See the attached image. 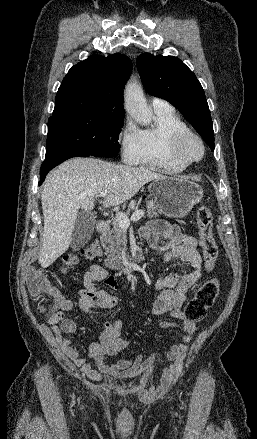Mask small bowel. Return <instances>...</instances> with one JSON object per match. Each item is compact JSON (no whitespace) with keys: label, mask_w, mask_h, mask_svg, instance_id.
Here are the masks:
<instances>
[{"label":"small bowel","mask_w":257,"mask_h":439,"mask_svg":"<svg viewBox=\"0 0 257 439\" xmlns=\"http://www.w3.org/2000/svg\"><path fill=\"white\" fill-rule=\"evenodd\" d=\"M140 235L153 250L161 255L160 266L177 258L193 269L187 274L174 273L159 277L155 282V288L160 291V294L153 303L152 314L170 313L174 318L183 320L182 305L187 298V293L202 275V258L197 250V238L182 232L177 225L162 220L153 221L143 227ZM161 238L164 240L163 243L160 242ZM98 283H103L113 290L117 287L114 277L101 266L94 265L83 276L84 288L78 300L67 299L59 291H55L54 299L58 311L49 317V324L53 326L63 352L86 377L94 381H100L105 376L130 379L140 373H151L155 367L156 353L146 359L142 354L134 357L122 355L129 343L119 337L122 332V322L118 319H105L100 340L85 349L86 356H82L73 343L64 336L73 334L77 330L75 321L67 318L66 313L76 308L88 313H92L95 309L110 310L118 304V298L98 288ZM160 326L169 328L177 324L161 321ZM195 331L194 323H184V335L180 342L173 345L165 354V358L170 362L163 371L165 379L170 378L183 362ZM106 356L117 359L113 363H107ZM88 359L94 362L95 368L88 362Z\"/></svg>","instance_id":"small-bowel-1"}]
</instances>
